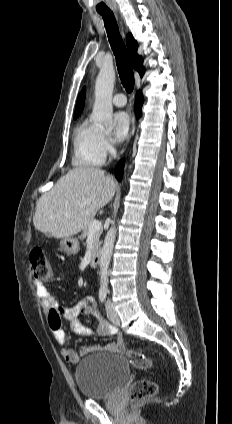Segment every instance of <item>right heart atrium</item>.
Returning a JSON list of instances; mask_svg holds the SVG:
<instances>
[{"label":"right heart atrium","instance_id":"right-heart-atrium-1","mask_svg":"<svg viewBox=\"0 0 232 424\" xmlns=\"http://www.w3.org/2000/svg\"><path fill=\"white\" fill-rule=\"evenodd\" d=\"M102 146L105 153H112L114 150V140L109 134H103L102 136Z\"/></svg>","mask_w":232,"mask_h":424}]
</instances>
